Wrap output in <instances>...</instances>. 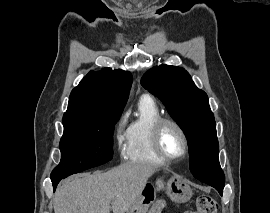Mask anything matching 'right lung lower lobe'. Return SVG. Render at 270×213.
I'll list each match as a JSON object with an SVG mask.
<instances>
[{
	"label": "right lung lower lobe",
	"instance_id": "98d812e1",
	"mask_svg": "<svg viewBox=\"0 0 270 213\" xmlns=\"http://www.w3.org/2000/svg\"><path fill=\"white\" fill-rule=\"evenodd\" d=\"M65 177H67V176L59 177V178H55V179H51L52 185H53V189H54V190L56 189V186H57V184L60 182V180H61L62 178H65Z\"/></svg>",
	"mask_w": 270,
	"mask_h": 213
}]
</instances>
